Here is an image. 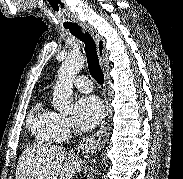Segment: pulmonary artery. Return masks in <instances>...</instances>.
Instances as JSON below:
<instances>
[{
  "label": "pulmonary artery",
  "instance_id": "pulmonary-artery-1",
  "mask_svg": "<svg viewBox=\"0 0 183 179\" xmlns=\"http://www.w3.org/2000/svg\"><path fill=\"white\" fill-rule=\"evenodd\" d=\"M74 86L81 92L88 93L92 90V84L88 77L78 76L74 80Z\"/></svg>",
  "mask_w": 183,
  "mask_h": 179
}]
</instances>
